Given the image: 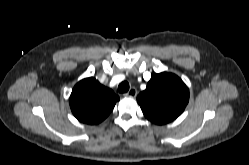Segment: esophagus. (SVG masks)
Listing matches in <instances>:
<instances>
[{"mask_svg": "<svg viewBox=\"0 0 249 165\" xmlns=\"http://www.w3.org/2000/svg\"><path fill=\"white\" fill-rule=\"evenodd\" d=\"M127 96L135 97L137 95V90L136 88L132 87L127 93Z\"/></svg>", "mask_w": 249, "mask_h": 165, "instance_id": "esophagus-1", "label": "esophagus"}]
</instances>
